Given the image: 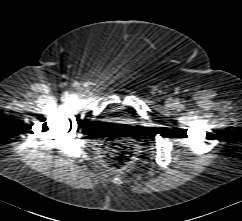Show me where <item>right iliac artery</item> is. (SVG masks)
<instances>
[{"mask_svg": "<svg viewBox=\"0 0 242 221\" xmlns=\"http://www.w3.org/2000/svg\"><path fill=\"white\" fill-rule=\"evenodd\" d=\"M67 96H68V94H67V93H65L64 98H66Z\"/></svg>", "mask_w": 242, "mask_h": 221, "instance_id": "82829eb1", "label": "right iliac artery"}]
</instances>
